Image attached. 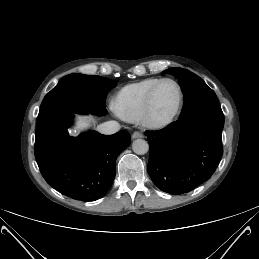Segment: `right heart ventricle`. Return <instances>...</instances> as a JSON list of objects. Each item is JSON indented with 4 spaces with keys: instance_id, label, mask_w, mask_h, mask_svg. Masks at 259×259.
I'll use <instances>...</instances> for the list:
<instances>
[{
    "instance_id": "right-heart-ventricle-1",
    "label": "right heart ventricle",
    "mask_w": 259,
    "mask_h": 259,
    "mask_svg": "<svg viewBox=\"0 0 259 259\" xmlns=\"http://www.w3.org/2000/svg\"><path fill=\"white\" fill-rule=\"evenodd\" d=\"M159 80L160 78L156 77L146 78L121 88L115 98L117 113L128 121L138 120L150 89Z\"/></svg>"
}]
</instances>
